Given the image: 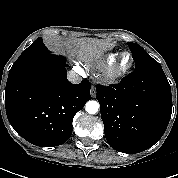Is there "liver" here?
Here are the masks:
<instances>
[{
    "mask_svg": "<svg viewBox=\"0 0 178 178\" xmlns=\"http://www.w3.org/2000/svg\"><path fill=\"white\" fill-rule=\"evenodd\" d=\"M56 46L61 49H69L72 53L78 54L82 60L89 61L98 57L111 46V43L94 38H79L56 44Z\"/></svg>",
    "mask_w": 178,
    "mask_h": 178,
    "instance_id": "obj_1",
    "label": "liver"
}]
</instances>
